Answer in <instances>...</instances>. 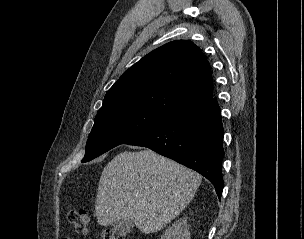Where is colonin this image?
<instances>
[{"mask_svg": "<svg viewBox=\"0 0 304 239\" xmlns=\"http://www.w3.org/2000/svg\"><path fill=\"white\" fill-rule=\"evenodd\" d=\"M68 220L77 233L86 234L89 231L90 218L84 209H70L67 213ZM100 239H123L109 229L102 230Z\"/></svg>", "mask_w": 304, "mask_h": 239, "instance_id": "1", "label": "colon"}]
</instances>
